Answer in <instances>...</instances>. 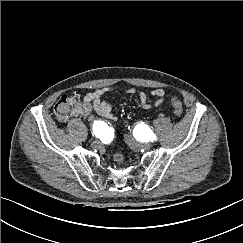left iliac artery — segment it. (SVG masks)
<instances>
[{"instance_id": "1", "label": "left iliac artery", "mask_w": 243, "mask_h": 243, "mask_svg": "<svg viewBox=\"0 0 243 243\" xmlns=\"http://www.w3.org/2000/svg\"><path fill=\"white\" fill-rule=\"evenodd\" d=\"M133 134L135 135V137H136V136H139V134H138V132L136 131V129H135V131H134ZM146 137H147L149 140H151V141H156V140H157V137H156V135H155L154 133H149ZM136 138H137V137H136ZM139 138H140V136H139Z\"/></svg>"}]
</instances>
